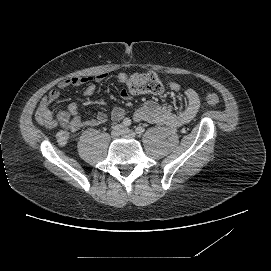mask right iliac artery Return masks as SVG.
<instances>
[{
	"mask_svg": "<svg viewBox=\"0 0 271 271\" xmlns=\"http://www.w3.org/2000/svg\"><path fill=\"white\" fill-rule=\"evenodd\" d=\"M122 124L126 127L130 126L131 125V120L129 118H125L123 121H122Z\"/></svg>",
	"mask_w": 271,
	"mask_h": 271,
	"instance_id": "obj_1",
	"label": "right iliac artery"
}]
</instances>
